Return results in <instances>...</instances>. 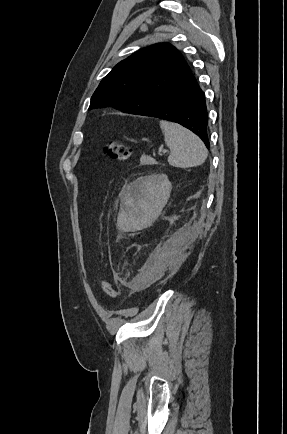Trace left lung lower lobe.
Listing matches in <instances>:
<instances>
[{"label": "left lung lower lobe", "instance_id": "0a47b994", "mask_svg": "<svg viewBox=\"0 0 287 434\" xmlns=\"http://www.w3.org/2000/svg\"><path fill=\"white\" fill-rule=\"evenodd\" d=\"M137 114L179 123L198 135L207 148L210 146L205 95L191 72L180 85L163 96L155 105Z\"/></svg>", "mask_w": 287, "mask_h": 434}]
</instances>
